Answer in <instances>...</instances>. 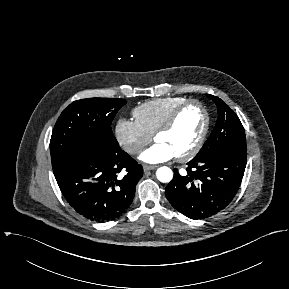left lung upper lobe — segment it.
<instances>
[{
	"label": "left lung upper lobe",
	"mask_w": 289,
	"mask_h": 289,
	"mask_svg": "<svg viewBox=\"0 0 289 289\" xmlns=\"http://www.w3.org/2000/svg\"><path fill=\"white\" fill-rule=\"evenodd\" d=\"M206 96L215 102L218 119L211 135L194 159H202L230 148L246 149L244 128L235 112L220 98L209 94Z\"/></svg>",
	"instance_id": "1"
}]
</instances>
